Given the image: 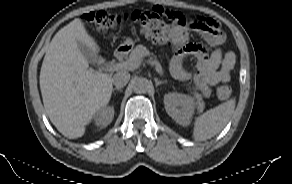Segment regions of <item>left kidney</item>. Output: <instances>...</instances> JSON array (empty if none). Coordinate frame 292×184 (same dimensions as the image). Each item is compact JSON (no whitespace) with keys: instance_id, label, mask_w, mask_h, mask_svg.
I'll list each match as a JSON object with an SVG mask.
<instances>
[{"instance_id":"1","label":"left kidney","mask_w":292,"mask_h":184,"mask_svg":"<svg viewBox=\"0 0 292 184\" xmlns=\"http://www.w3.org/2000/svg\"><path fill=\"white\" fill-rule=\"evenodd\" d=\"M164 105L168 115L178 124L187 126L195 111L192 97L180 93H168L164 96Z\"/></svg>"}]
</instances>
